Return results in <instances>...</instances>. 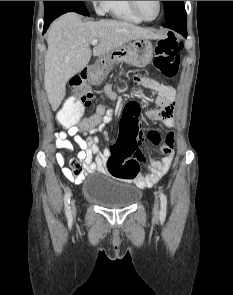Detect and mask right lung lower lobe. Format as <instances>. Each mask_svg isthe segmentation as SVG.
Masks as SVG:
<instances>
[{"mask_svg":"<svg viewBox=\"0 0 233 295\" xmlns=\"http://www.w3.org/2000/svg\"><path fill=\"white\" fill-rule=\"evenodd\" d=\"M66 12H77L82 15H89L83 1H63L53 5H47L45 6L44 31L47 30L55 18Z\"/></svg>","mask_w":233,"mask_h":295,"instance_id":"obj_1","label":"right lung lower lobe"}]
</instances>
